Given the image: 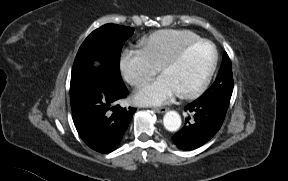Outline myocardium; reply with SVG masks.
I'll return each instance as SVG.
<instances>
[{"label": "myocardium", "instance_id": "1", "mask_svg": "<svg viewBox=\"0 0 288 181\" xmlns=\"http://www.w3.org/2000/svg\"><path fill=\"white\" fill-rule=\"evenodd\" d=\"M200 44H209L213 47L214 52H215V57H214V62L212 64V67L209 71V73L207 74V76L205 77V79L195 88L190 89L188 91H184L181 93H178L179 97L184 98V99H188V98H193L196 97L198 95H200L202 92L205 91V89L208 87V85L210 84L216 70L218 67V63H219V50L216 46V44L214 42H212L211 40L208 39H198L196 41H193L191 43H188L186 45H184L183 47H181L173 56H171L170 58H168L167 60H165L161 66L159 67V72L162 74L165 70L177 65L178 63H180L182 61V59L185 57V55L194 47L200 45Z\"/></svg>", "mask_w": 288, "mask_h": 181}]
</instances>
